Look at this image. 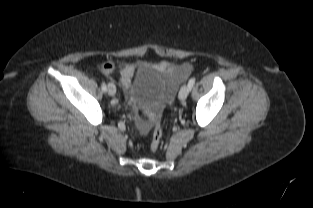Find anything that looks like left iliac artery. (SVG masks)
Returning <instances> with one entry per match:
<instances>
[{"label":"left iliac artery","mask_w":313,"mask_h":208,"mask_svg":"<svg viewBox=\"0 0 313 208\" xmlns=\"http://www.w3.org/2000/svg\"><path fill=\"white\" fill-rule=\"evenodd\" d=\"M194 84H195V78H191L188 82L189 91L192 89Z\"/></svg>","instance_id":"1"}]
</instances>
